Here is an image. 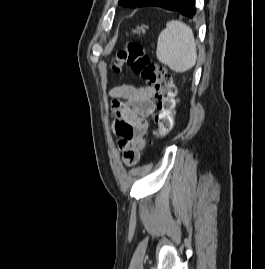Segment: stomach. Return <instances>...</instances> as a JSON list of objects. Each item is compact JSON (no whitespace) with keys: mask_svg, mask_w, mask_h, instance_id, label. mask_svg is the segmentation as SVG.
Wrapping results in <instances>:
<instances>
[{"mask_svg":"<svg viewBox=\"0 0 265 269\" xmlns=\"http://www.w3.org/2000/svg\"><path fill=\"white\" fill-rule=\"evenodd\" d=\"M141 31L144 33V32H145L144 28H138V29H137V32H138V33H140Z\"/></svg>","mask_w":265,"mask_h":269,"instance_id":"0dacf381","label":"stomach"}]
</instances>
